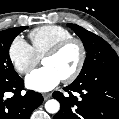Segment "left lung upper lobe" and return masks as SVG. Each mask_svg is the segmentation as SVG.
<instances>
[{
    "label": "left lung upper lobe",
    "instance_id": "1",
    "mask_svg": "<svg viewBox=\"0 0 119 119\" xmlns=\"http://www.w3.org/2000/svg\"><path fill=\"white\" fill-rule=\"evenodd\" d=\"M68 26L80 37L87 51L83 68L76 80L87 79L97 71L119 66L116 52L105 40L78 25Z\"/></svg>",
    "mask_w": 119,
    "mask_h": 119
}]
</instances>
